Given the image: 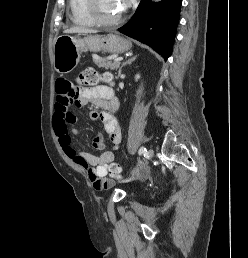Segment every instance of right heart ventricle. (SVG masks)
Segmentation results:
<instances>
[{"mask_svg":"<svg viewBox=\"0 0 248 258\" xmlns=\"http://www.w3.org/2000/svg\"><path fill=\"white\" fill-rule=\"evenodd\" d=\"M72 21L81 26H92L94 22L86 10V0H69Z\"/></svg>","mask_w":248,"mask_h":258,"instance_id":"obj_1","label":"right heart ventricle"}]
</instances>
